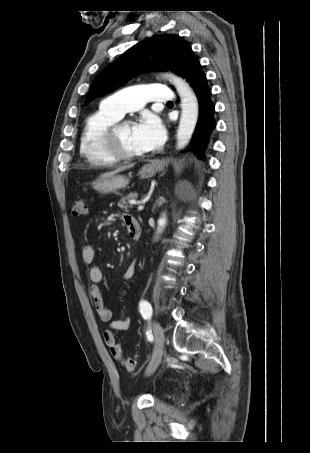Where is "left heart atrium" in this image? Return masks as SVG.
Listing matches in <instances>:
<instances>
[{
    "label": "left heart atrium",
    "instance_id": "1",
    "mask_svg": "<svg viewBox=\"0 0 310 453\" xmlns=\"http://www.w3.org/2000/svg\"><path fill=\"white\" fill-rule=\"evenodd\" d=\"M133 134L145 151L160 147L165 140V128L155 115H146L133 125Z\"/></svg>",
    "mask_w": 310,
    "mask_h": 453
}]
</instances>
